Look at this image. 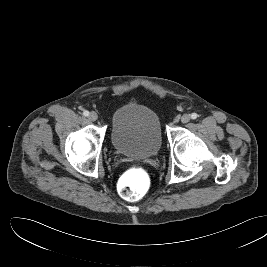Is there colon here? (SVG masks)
<instances>
[{"mask_svg":"<svg viewBox=\"0 0 267 267\" xmlns=\"http://www.w3.org/2000/svg\"><path fill=\"white\" fill-rule=\"evenodd\" d=\"M150 178L141 166H133L119 180L118 191L122 198L134 201L142 198L149 189Z\"/></svg>","mask_w":267,"mask_h":267,"instance_id":"5ec220e1","label":"colon"}]
</instances>
